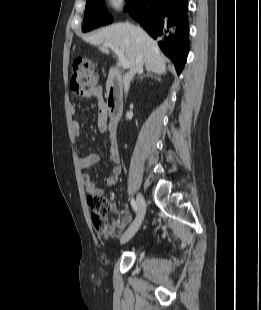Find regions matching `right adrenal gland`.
Listing matches in <instances>:
<instances>
[{
    "label": "right adrenal gland",
    "instance_id": "obj_1",
    "mask_svg": "<svg viewBox=\"0 0 261 310\" xmlns=\"http://www.w3.org/2000/svg\"><path fill=\"white\" fill-rule=\"evenodd\" d=\"M145 76L154 78V79H156V80H159V78H158L156 75H153V74L150 73V72H148L147 74H144V75H143V71H140V72H139V77H140L141 79H142L143 77H145Z\"/></svg>",
    "mask_w": 261,
    "mask_h": 310
}]
</instances>
